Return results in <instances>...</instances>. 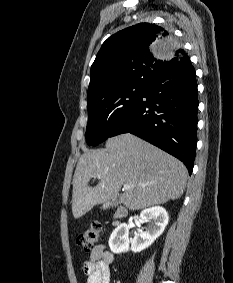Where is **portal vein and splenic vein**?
<instances>
[{
    "instance_id": "obj_1",
    "label": "portal vein and splenic vein",
    "mask_w": 233,
    "mask_h": 283,
    "mask_svg": "<svg viewBox=\"0 0 233 283\" xmlns=\"http://www.w3.org/2000/svg\"><path fill=\"white\" fill-rule=\"evenodd\" d=\"M97 177H99V175H97ZM131 186H132L131 184H124L123 188L124 189H129V188H131Z\"/></svg>"
}]
</instances>
